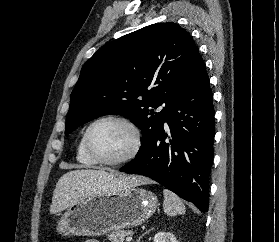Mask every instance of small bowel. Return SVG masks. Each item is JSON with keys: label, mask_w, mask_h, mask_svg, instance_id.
<instances>
[{"label": "small bowel", "mask_w": 279, "mask_h": 242, "mask_svg": "<svg viewBox=\"0 0 279 242\" xmlns=\"http://www.w3.org/2000/svg\"><path fill=\"white\" fill-rule=\"evenodd\" d=\"M85 242H99V241L94 240V239H90V240H86Z\"/></svg>", "instance_id": "obj_1"}]
</instances>
